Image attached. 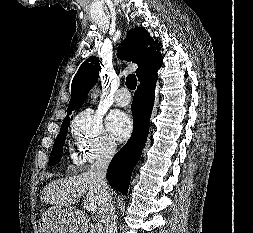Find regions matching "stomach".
I'll list each match as a JSON object with an SVG mask.
<instances>
[{
	"mask_svg": "<svg viewBox=\"0 0 253 233\" xmlns=\"http://www.w3.org/2000/svg\"><path fill=\"white\" fill-rule=\"evenodd\" d=\"M76 212L53 206L47 209L39 220L41 233H80L76 224Z\"/></svg>",
	"mask_w": 253,
	"mask_h": 233,
	"instance_id": "0dacf381",
	"label": "stomach"
}]
</instances>
